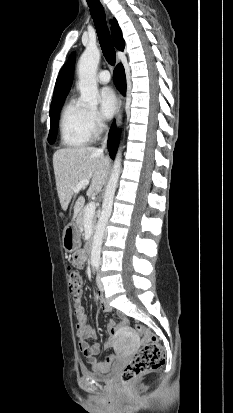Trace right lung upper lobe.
Wrapping results in <instances>:
<instances>
[{"mask_svg":"<svg viewBox=\"0 0 233 413\" xmlns=\"http://www.w3.org/2000/svg\"><path fill=\"white\" fill-rule=\"evenodd\" d=\"M111 33L115 47L118 50L123 51L125 47V42L122 37L121 29L118 26V23L115 18L111 22ZM74 59L75 53L73 52L69 57L66 66L57 78L51 104H56L62 100H65L66 96L68 95L72 85Z\"/></svg>","mask_w":233,"mask_h":413,"instance_id":"right-lung-upper-lobe-1","label":"right lung upper lobe"}]
</instances>
